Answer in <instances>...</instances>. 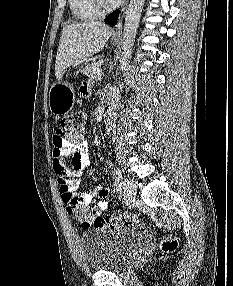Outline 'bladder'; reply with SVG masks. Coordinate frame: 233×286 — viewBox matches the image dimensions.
<instances>
[{
    "label": "bladder",
    "instance_id": "bladder-1",
    "mask_svg": "<svg viewBox=\"0 0 233 286\" xmlns=\"http://www.w3.org/2000/svg\"><path fill=\"white\" fill-rule=\"evenodd\" d=\"M145 236L139 226L86 231L81 236L83 255L94 271L119 270L137 254Z\"/></svg>",
    "mask_w": 233,
    "mask_h": 286
}]
</instances>
